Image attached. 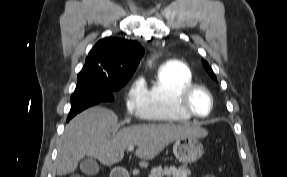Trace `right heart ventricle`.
Returning a JSON list of instances; mask_svg holds the SVG:
<instances>
[{
    "label": "right heart ventricle",
    "mask_w": 287,
    "mask_h": 177,
    "mask_svg": "<svg viewBox=\"0 0 287 177\" xmlns=\"http://www.w3.org/2000/svg\"><path fill=\"white\" fill-rule=\"evenodd\" d=\"M190 69L180 63L165 64L159 69L156 80L147 88L142 106V117L151 122L183 123L191 116L178 106L182 91L193 84Z\"/></svg>",
    "instance_id": "right-heart-ventricle-1"
}]
</instances>
